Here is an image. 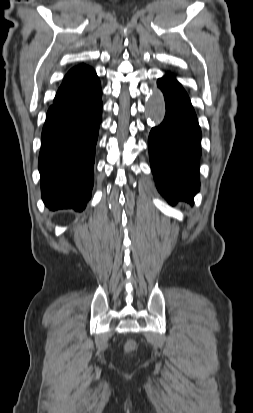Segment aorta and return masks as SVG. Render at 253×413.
Wrapping results in <instances>:
<instances>
[{"label": "aorta", "mask_w": 253, "mask_h": 413, "mask_svg": "<svg viewBox=\"0 0 253 413\" xmlns=\"http://www.w3.org/2000/svg\"><path fill=\"white\" fill-rule=\"evenodd\" d=\"M146 116L151 123L160 124L165 116V100L160 90H153V93L146 101Z\"/></svg>", "instance_id": "obj_1"}]
</instances>
